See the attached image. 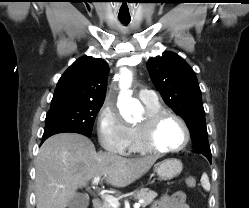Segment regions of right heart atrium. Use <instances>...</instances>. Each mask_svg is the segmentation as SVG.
<instances>
[{
    "label": "right heart atrium",
    "mask_w": 249,
    "mask_h": 208,
    "mask_svg": "<svg viewBox=\"0 0 249 208\" xmlns=\"http://www.w3.org/2000/svg\"><path fill=\"white\" fill-rule=\"evenodd\" d=\"M97 135L105 150L121 155L127 153L128 127L109 103H105L98 113Z\"/></svg>",
    "instance_id": "obj_1"
}]
</instances>
